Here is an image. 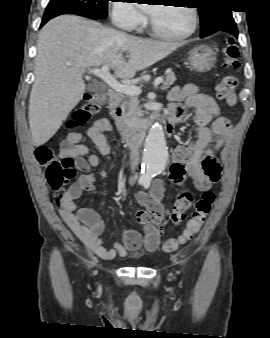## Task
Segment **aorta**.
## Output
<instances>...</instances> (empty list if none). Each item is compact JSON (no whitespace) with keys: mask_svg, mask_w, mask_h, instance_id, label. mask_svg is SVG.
Masks as SVG:
<instances>
[{"mask_svg":"<svg viewBox=\"0 0 270 338\" xmlns=\"http://www.w3.org/2000/svg\"><path fill=\"white\" fill-rule=\"evenodd\" d=\"M168 163V152L162 126L154 123L148 133L143 154L142 178L150 179L162 172Z\"/></svg>","mask_w":270,"mask_h":338,"instance_id":"762f6f07","label":"aorta"}]
</instances>
